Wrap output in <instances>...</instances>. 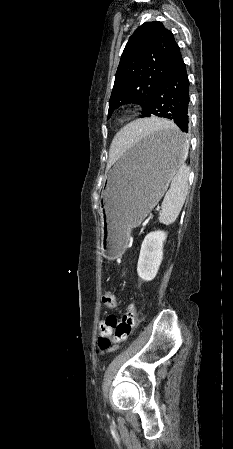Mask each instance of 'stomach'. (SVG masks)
Segmentation results:
<instances>
[{
	"mask_svg": "<svg viewBox=\"0 0 233 449\" xmlns=\"http://www.w3.org/2000/svg\"><path fill=\"white\" fill-rule=\"evenodd\" d=\"M183 133L176 127L148 138L109 171L102 190L101 249L107 259L120 256L130 230L157 205L184 160Z\"/></svg>",
	"mask_w": 233,
	"mask_h": 449,
	"instance_id": "stomach-1",
	"label": "stomach"
}]
</instances>
